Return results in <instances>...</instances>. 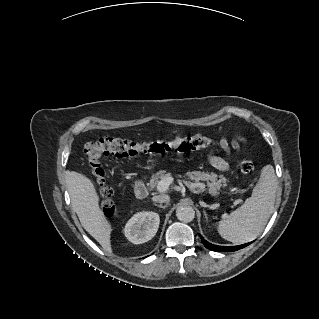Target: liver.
<instances>
[{
    "label": "liver",
    "mask_w": 319,
    "mask_h": 319,
    "mask_svg": "<svg viewBox=\"0 0 319 319\" xmlns=\"http://www.w3.org/2000/svg\"><path fill=\"white\" fill-rule=\"evenodd\" d=\"M68 192L72 206L83 228L109 253L111 249L112 227L100 206V198L94 183L75 171L67 176Z\"/></svg>",
    "instance_id": "6515ba94"
}]
</instances>
